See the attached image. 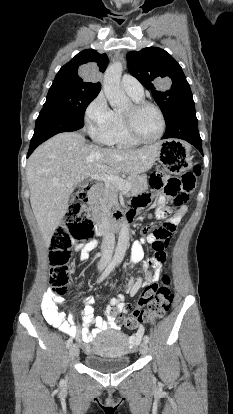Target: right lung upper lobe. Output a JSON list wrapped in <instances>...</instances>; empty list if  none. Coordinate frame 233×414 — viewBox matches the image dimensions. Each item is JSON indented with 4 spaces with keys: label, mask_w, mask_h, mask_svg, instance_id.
Segmentation results:
<instances>
[{
    "label": "right lung upper lobe",
    "mask_w": 233,
    "mask_h": 414,
    "mask_svg": "<svg viewBox=\"0 0 233 414\" xmlns=\"http://www.w3.org/2000/svg\"><path fill=\"white\" fill-rule=\"evenodd\" d=\"M108 65V58L106 54H99L97 51L87 49L77 54L71 61L65 64L57 73L54 80L65 81L74 85L83 86L86 88L100 89L101 84L99 82H90L88 78L91 72L95 70L104 72ZM81 66L90 69V75L81 78L78 74Z\"/></svg>",
    "instance_id": "1"
}]
</instances>
